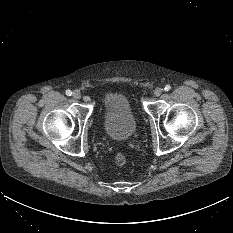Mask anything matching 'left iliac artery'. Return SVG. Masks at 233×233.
<instances>
[{"mask_svg": "<svg viewBox=\"0 0 233 233\" xmlns=\"http://www.w3.org/2000/svg\"><path fill=\"white\" fill-rule=\"evenodd\" d=\"M171 89V86L170 85H166L165 87H164V90L165 91H169Z\"/></svg>", "mask_w": 233, "mask_h": 233, "instance_id": "44dca946", "label": "left iliac artery"}]
</instances>
